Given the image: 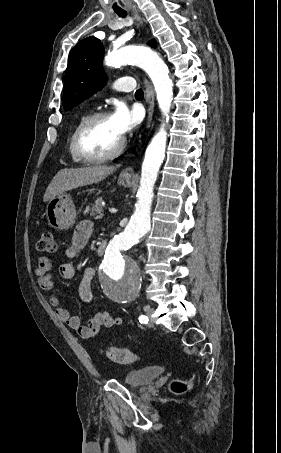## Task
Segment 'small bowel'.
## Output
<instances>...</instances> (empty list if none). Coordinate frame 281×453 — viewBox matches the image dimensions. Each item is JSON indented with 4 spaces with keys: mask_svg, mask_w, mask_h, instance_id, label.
<instances>
[{
    "mask_svg": "<svg viewBox=\"0 0 281 453\" xmlns=\"http://www.w3.org/2000/svg\"><path fill=\"white\" fill-rule=\"evenodd\" d=\"M93 233V225L88 220L81 221L75 228L72 241L66 250V259L60 266V275L62 278H73L76 275L74 260L79 256L81 251L88 244ZM106 242L103 239L98 240L96 249L103 246L106 249ZM35 275L38 278V284L41 290H50L53 288L52 271L53 263L48 256H40L34 267ZM94 276V269L87 267L79 282L77 295L84 302H89L92 299L91 281ZM65 293H72L68 289H62ZM50 304L57 308V315L61 322L76 331L83 339L93 338L102 327H115L122 324L120 316H111L110 314L99 311L96 312L90 319L88 324H83L81 319L73 315L68 309L62 306L61 296L57 293L49 295Z\"/></svg>",
    "mask_w": 281,
    "mask_h": 453,
    "instance_id": "obj_1",
    "label": "small bowel"
}]
</instances>
